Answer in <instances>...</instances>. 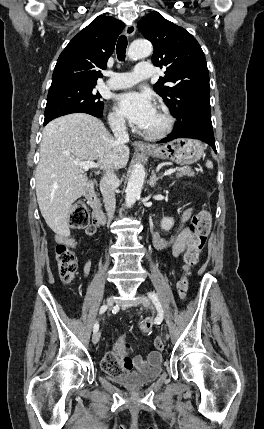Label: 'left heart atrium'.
Segmentation results:
<instances>
[{
  "instance_id": "39dd6f15",
  "label": "left heart atrium",
  "mask_w": 264,
  "mask_h": 429,
  "mask_svg": "<svg viewBox=\"0 0 264 429\" xmlns=\"http://www.w3.org/2000/svg\"><path fill=\"white\" fill-rule=\"evenodd\" d=\"M118 112L133 125L144 128L156 109L152 98L144 92H125L117 97Z\"/></svg>"
}]
</instances>
